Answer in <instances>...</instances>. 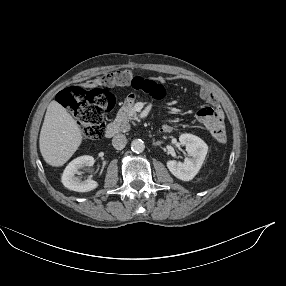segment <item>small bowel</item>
Masks as SVG:
<instances>
[{
	"label": "small bowel",
	"instance_id": "1",
	"mask_svg": "<svg viewBox=\"0 0 286 286\" xmlns=\"http://www.w3.org/2000/svg\"><path fill=\"white\" fill-rule=\"evenodd\" d=\"M134 78L131 72L129 71H118L113 73V77L110 79H102L100 83L105 85H117V86H127L133 85L134 86ZM91 84H93L91 82ZM199 96L202 100L214 104L216 103V98L213 93L210 91L209 88L206 86H200L199 88ZM137 96L134 93H129L126 96V100L123 104V110L119 114V119L122 122H128L133 115V109L136 105ZM197 118L201 122L208 125L214 121H219L224 124V114L223 111L219 106H215L214 108L211 107H204L197 113ZM163 132H170L172 130V126L169 124H164L162 126Z\"/></svg>",
	"mask_w": 286,
	"mask_h": 286
}]
</instances>
